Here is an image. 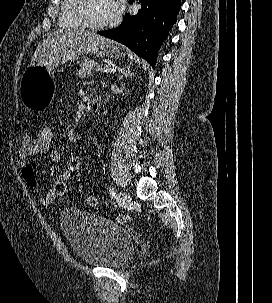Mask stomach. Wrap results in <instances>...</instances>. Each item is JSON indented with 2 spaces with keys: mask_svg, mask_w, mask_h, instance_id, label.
I'll return each mask as SVG.
<instances>
[{
  "mask_svg": "<svg viewBox=\"0 0 272 303\" xmlns=\"http://www.w3.org/2000/svg\"><path fill=\"white\" fill-rule=\"evenodd\" d=\"M85 53L112 59H119L125 56L121 47L110 40L87 50L74 51L64 57H54L42 65L28 67L23 72L20 81V98L23 105L28 110L46 108L51 103L54 93V82L51 78L52 71L60 65L75 61L81 54Z\"/></svg>",
  "mask_w": 272,
  "mask_h": 303,
  "instance_id": "0dacf381",
  "label": "stomach"
}]
</instances>
